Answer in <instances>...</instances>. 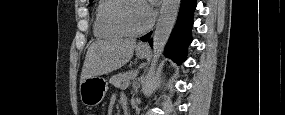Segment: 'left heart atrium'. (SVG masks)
Returning <instances> with one entry per match:
<instances>
[{
    "label": "left heart atrium",
    "instance_id": "39dd6f15",
    "mask_svg": "<svg viewBox=\"0 0 285 115\" xmlns=\"http://www.w3.org/2000/svg\"><path fill=\"white\" fill-rule=\"evenodd\" d=\"M150 2H152V1L144 2V4H142L143 14H144V19H145L146 25H148L154 17V9H153L152 5L149 4Z\"/></svg>",
    "mask_w": 285,
    "mask_h": 115
}]
</instances>
